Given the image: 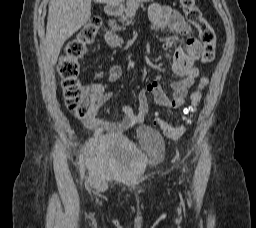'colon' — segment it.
<instances>
[{
	"label": "colon",
	"mask_w": 256,
	"mask_h": 228,
	"mask_svg": "<svg viewBox=\"0 0 256 228\" xmlns=\"http://www.w3.org/2000/svg\"><path fill=\"white\" fill-rule=\"evenodd\" d=\"M181 7L188 21L194 25L203 44L201 61L212 62L216 54V33L213 27L203 17L195 0H180ZM101 19L92 17L88 23L72 38L60 58L58 72L60 84L67 109L78 119H89L95 116L99 108L98 97L88 92L80 79V61L86 54L89 46L95 41L101 27ZM208 79L203 77L197 89L190 96V106L186 109L185 122H190L191 116L196 112L202 98V89ZM165 135L177 139L185 132V125L172 124L163 119L155 120Z\"/></svg>",
	"instance_id": "colon-1"
}]
</instances>
